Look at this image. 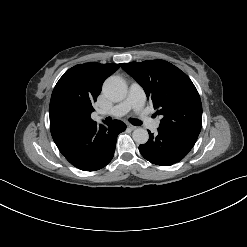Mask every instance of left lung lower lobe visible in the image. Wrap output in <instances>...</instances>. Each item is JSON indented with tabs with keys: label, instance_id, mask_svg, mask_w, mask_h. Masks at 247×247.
<instances>
[{
	"label": "left lung lower lobe",
	"instance_id": "0a47b994",
	"mask_svg": "<svg viewBox=\"0 0 247 247\" xmlns=\"http://www.w3.org/2000/svg\"><path fill=\"white\" fill-rule=\"evenodd\" d=\"M148 132L149 140L139 146V151L146 160L160 166L181 161L198 138V134L166 127H159L156 134Z\"/></svg>",
	"mask_w": 247,
	"mask_h": 247
}]
</instances>
